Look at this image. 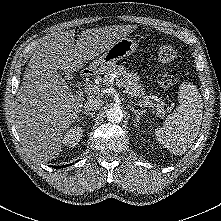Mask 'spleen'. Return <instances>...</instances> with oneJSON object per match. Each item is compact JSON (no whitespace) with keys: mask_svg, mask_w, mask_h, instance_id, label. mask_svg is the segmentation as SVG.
<instances>
[{"mask_svg":"<svg viewBox=\"0 0 221 221\" xmlns=\"http://www.w3.org/2000/svg\"><path fill=\"white\" fill-rule=\"evenodd\" d=\"M178 93L179 105L154 133L155 139L174 155H182L192 146L203 116L202 98L195 85L183 82Z\"/></svg>","mask_w":221,"mask_h":221,"instance_id":"1","label":"spleen"}]
</instances>
